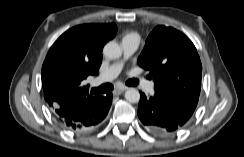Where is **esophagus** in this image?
<instances>
[{"mask_svg": "<svg viewBox=\"0 0 244 157\" xmlns=\"http://www.w3.org/2000/svg\"><path fill=\"white\" fill-rule=\"evenodd\" d=\"M126 89H127L126 86H124V85H119V86L113 91V94H114V95H119V94L123 93Z\"/></svg>", "mask_w": 244, "mask_h": 157, "instance_id": "34e87169", "label": "esophagus"}]
</instances>
